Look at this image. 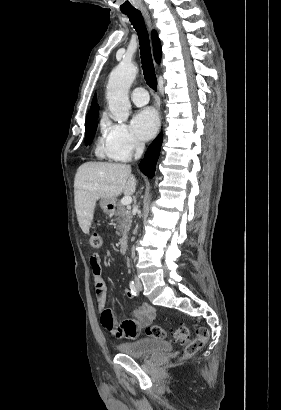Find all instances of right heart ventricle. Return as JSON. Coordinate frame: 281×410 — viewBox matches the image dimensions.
<instances>
[{
	"label": "right heart ventricle",
	"instance_id": "right-heart-ventricle-1",
	"mask_svg": "<svg viewBox=\"0 0 281 410\" xmlns=\"http://www.w3.org/2000/svg\"><path fill=\"white\" fill-rule=\"evenodd\" d=\"M101 129H102V131H101L100 135L98 136V138L96 140V144H95V154H96V156L98 158H109V159H112V160H119L113 155V153H112V151H111V149L108 145V142H107V139H106V136H105V132H104V129H105V122L104 121L101 123Z\"/></svg>",
	"mask_w": 281,
	"mask_h": 410
}]
</instances>
